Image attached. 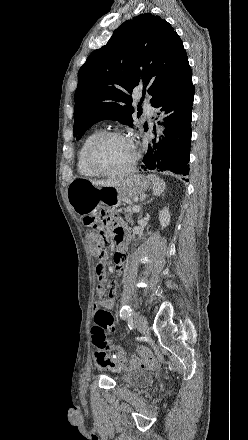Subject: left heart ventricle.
<instances>
[{"label": "left heart ventricle", "instance_id": "obj_1", "mask_svg": "<svg viewBox=\"0 0 248 440\" xmlns=\"http://www.w3.org/2000/svg\"><path fill=\"white\" fill-rule=\"evenodd\" d=\"M133 156V147L125 138H109L97 149L95 162L105 171H119L129 165Z\"/></svg>", "mask_w": 248, "mask_h": 440}]
</instances>
